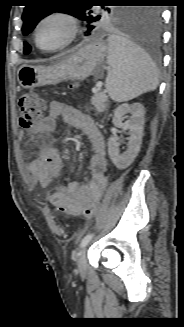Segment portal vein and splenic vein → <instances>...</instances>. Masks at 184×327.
Returning a JSON list of instances; mask_svg holds the SVG:
<instances>
[{"mask_svg": "<svg viewBox=\"0 0 184 327\" xmlns=\"http://www.w3.org/2000/svg\"><path fill=\"white\" fill-rule=\"evenodd\" d=\"M101 87H102V82L99 81V82L96 83V86L92 89V91L96 92V91L100 90Z\"/></svg>", "mask_w": 184, "mask_h": 327, "instance_id": "obj_1", "label": "portal vein and splenic vein"}]
</instances>
